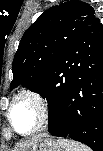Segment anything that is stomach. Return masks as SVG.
<instances>
[{
  "label": "stomach",
  "instance_id": "0dacf381",
  "mask_svg": "<svg viewBox=\"0 0 103 151\" xmlns=\"http://www.w3.org/2000/svg\"><path fill=\"white\" fill-rule=\"evenodd\" d=\"M59 141L49 136H37L31 140L24 151H62Z\"/></svg>",
  "mask_w": 103,
  "mask_h": 151
}]
</instances>
